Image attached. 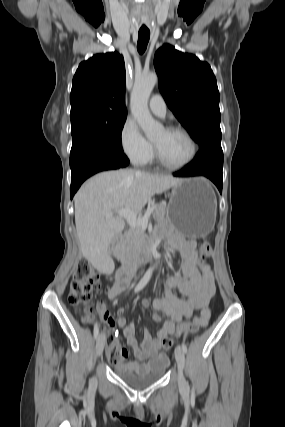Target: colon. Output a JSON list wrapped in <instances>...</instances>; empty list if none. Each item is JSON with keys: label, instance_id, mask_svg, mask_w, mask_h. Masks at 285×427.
<instances>
[{"label": "colon", "instance_id": "obj_1", "mask_svg": "<svg viewBox=\"0 0 285 427\" xmlns=\"http://www.w3.org/2000/svg\"><path fill=\"white\" fill-rule=\"evenodd\" d=\"M200 256L203 260H208L213 255L212 246L209 243H202L199 248ZM105 290L100 277L96 270L87 260H81L73 274L68 300L73 306L79 307L84 323H90L93 319L94 308L91 301L96 294L102 293ZM202 326L201 316H196L187 324L178 327L177 334L194 333ZM108 357L112 361H118L120 358L119 343L114 336L108 337ZM172 340L167 338L163 342L165 349H170Z\"/></svg>", "mask_w": 285, "mask_h": 427}]
</instances>
